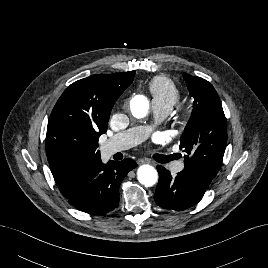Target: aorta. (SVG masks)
<instances>
[{
  "instance_id": "762f6f07",
  "label": "aorta",
  "mask_w": 268,
  "mask_h": 268,
  "mask_svg": "<svg viewBox=\"0 0 268 268\" xmlns=\"http://www.w3.org/2000/svg\"><path fill=\"white\" fill-rule=\"evenodd\" d=\"M149 100L143 95H136L130 101L132 115L136 118H144L149 114ZM138 181L146 186L151 187L158 181L156 169L148 164L141 165L137 170Z\"/></svg>"
}]
</instances>
